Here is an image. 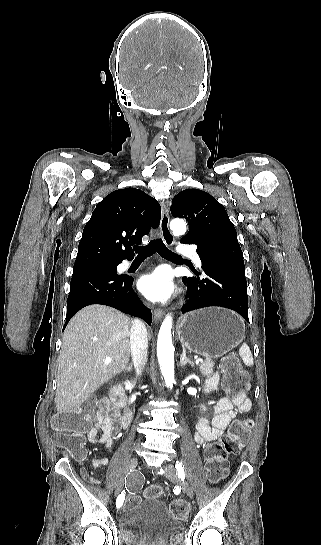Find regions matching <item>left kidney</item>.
<instances>
[{
	"label": "left kidney",
	"mask_w": 321,
	"mask_h": 545,
	"mask_svg": "<svg viewBox=\"0 0 321 545\" xmlns=\"http://www.w3.org/2000/svg\"><path fill=\"white\" fill-rule=\"evenodd\" d=\"M203 411H206V407H202Z\"/></svg>",
	"instance_id": "obj_1"
}]
</instances>
